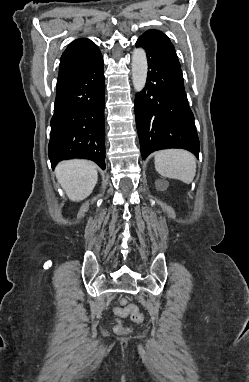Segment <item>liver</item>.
Masks as SVG:
<instances>
[{
    "label": "liver",
    "instance_id": "1",
    "mask_svg": "<svg viewBox=\"0 0 249 382\" xmlns=\"http://www.w3.org/2000/svg\"><path fill=\"white\" fill-rule=\"evenodd\" d=\"M55 173L69 199L77 202L92 193L98 180L96 164L87 160L62 161L57 165Z\"/></svg>",
    "mask_w": 249,
    "mask_h": 382
}]
</instances>
